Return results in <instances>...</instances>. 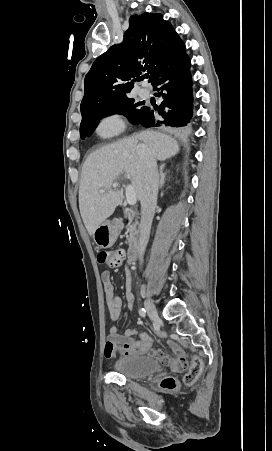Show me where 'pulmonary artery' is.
<instances>
[{"instance_id": "obj_1", "label": "pulmonary artery", "mask_w": 272, "mask_h": 451, "mask_svg": "<svg viewBox=\"0 0 272 451\" xmlns=\"http://www.w3.org/2000/svg\"><path fill=\"white\" fill-rule=\"evenodd\" d=\"M138 95L142 99H148L151 96L150 92L145 89L139 90Z\"/></svg>"}]
</instances>
